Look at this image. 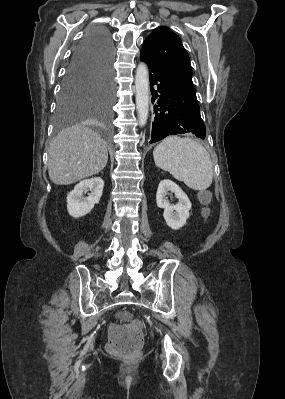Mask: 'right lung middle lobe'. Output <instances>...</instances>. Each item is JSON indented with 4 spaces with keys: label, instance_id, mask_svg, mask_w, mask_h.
Returning <instances> with one entry per match:
<instances>
[{
    "label": "right lung middle lobe",
    "instance_id": "obj_1",
    "mask_svg": "<svg viewBox=\"0 0 285 399\" xmlns=\"http://www.w3.org/2000/svg\"><path fill=\"white\" fill-rule=\"evenodd\" d=\"M113 98V75L110 78L101 75L65 76L57 101L59 127L86 111H93L108 122Z\"/></svg>",
    "mask_w": 285,
    "mask_h": 399
}]
</instances>
